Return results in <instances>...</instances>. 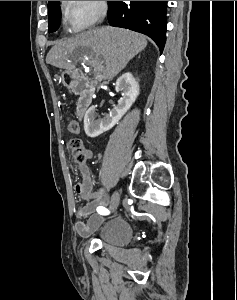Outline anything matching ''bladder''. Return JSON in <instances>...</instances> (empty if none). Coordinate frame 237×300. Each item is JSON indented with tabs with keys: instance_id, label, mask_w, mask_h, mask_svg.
<instances>
[{
	"instance_id": "obj_1",
	"label": "bladder",
	"mask_w": 237,
	"mask_h": 300,
	"mask_svg": "<svg viewBox=\"0 0 237 300\" xmlns=\"http://www.w3.org/2000/svg\"><path fill=\"white\" fill-rule=\"evenodd\" d=\"M95 236L102 243L123 246L131 241L133 228L125 218L118 216L106 221Z\"/></svg>"
}]
</instances>
